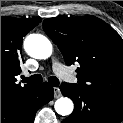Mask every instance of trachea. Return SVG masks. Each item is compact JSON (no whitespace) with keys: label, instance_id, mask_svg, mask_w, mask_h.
<instances>
[{"label":"trachea","instance_id":"obj_1","mask_svg":"<svg viewBox=\"0 0 123 123\" xmlns=\"http://www.w3.org/2000/svg\"><path fill=\"white\" fill-rule=\"evenodd\" d=\"M42 80H43V78L40 74H35L28 78L23 77V82L30 83V84H40V83H42ZM48 82L54 87L59 86V80L55 76L49 77Z\"/></svg>","mask_w":123,"mask_h":123}]
</instances>
